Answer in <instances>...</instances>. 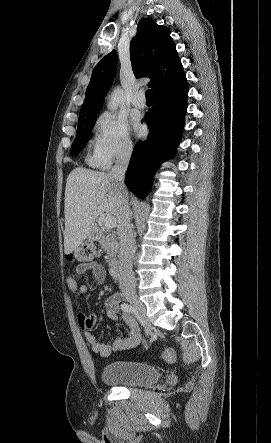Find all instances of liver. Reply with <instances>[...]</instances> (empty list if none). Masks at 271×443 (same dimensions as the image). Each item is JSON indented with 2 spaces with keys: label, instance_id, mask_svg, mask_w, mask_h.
<instances>
[{
  "label": "liver",
  "instance_id": "obj_1",
  "mask_svg": "<svg viewBox=\"0 0 271 443\" xmlns=\"http://www.w3.org/2000/svg\"><path fill=\"white\" fill-rule=\"evenodd\" d=\"M121 216V192L117 182L103 172L75 168L69 174L65 188L64 251H74L93 231L100 214Z\"/></svg>",
  "mask_w": 271,
  "mask_h": 443
}]
</instances>
